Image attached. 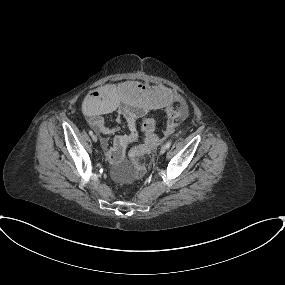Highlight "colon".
<instances>
[{
  "label": "colon",
  "instance_id": "1",
  "mask_svg": "<svg viewBox=\"0 0 285 285\" xmlns=\"http://www.w3.org/2000/svg\"><path fill=\"white\" fill-rule=\"evenodd\" d=\"M178 117L176 114H171L169 120L167 121L168 128H174L178 125ZM142 133L144 137L149 141L150 146H154L159 140V135L157 132L156 120L153 116H145L141 122ZM148 148H138L133 154V158L137 163L136 169L133 171L131 178L138 177L140 174V165L144 155L147 153Z\"/></svg>",
  "mask_w": 285,
  "mask_h": 285
}]
</instances>
